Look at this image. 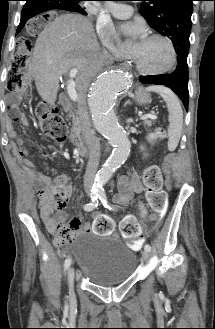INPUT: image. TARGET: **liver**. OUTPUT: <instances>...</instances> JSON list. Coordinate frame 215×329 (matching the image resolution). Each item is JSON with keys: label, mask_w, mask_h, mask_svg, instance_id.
<instances>
[{"label": "liver", "mask_w": 215, "mask_h": 329, "mask_svg": "<svg viewBox=\"0 0 215 329\" xmlns=\"http://www.w3.org/2000/svg\"><path fill=\"white\" fill-rule=\"evenodd\" d=\"M105 60L92 23L79 14H63L38 36L29 69L39 95L53 105L62 75L78 69L76 88L81 94Z\"/></svg>", "instance_id": "obj_1"}]
</instances>
